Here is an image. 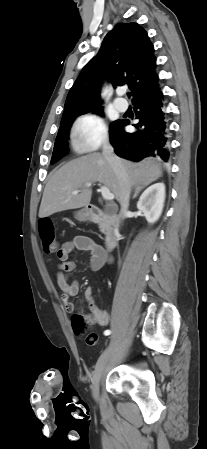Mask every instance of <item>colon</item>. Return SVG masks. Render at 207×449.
Listing matches in <instances>:
<instances>
[{"label":"colon","instance_id":"colon-1","mask_svg":"<svg viewBox=\"0 0 207 449\" xmlns=\"http://www.w3.org/2000/svg\"><path fill=\"white\" fill-rule=\"evenodd\" d=\"M40 235L43 245V250L46 253H54L58 249L55 239L54 225L48 218H43L39 221ZM86 327L85 319L82 315H75L73 318V328L77 333H82ZM98 336L95 332H89L85 336V343L89 346L96 345Z\"/></svg>","mask_w":207,"mask_h":449}]
</instances>
